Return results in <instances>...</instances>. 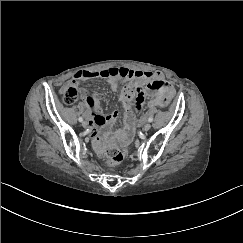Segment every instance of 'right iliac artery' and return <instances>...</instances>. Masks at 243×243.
Here are the masks:
<instances>
[{
  "label": "right iliac artery",
  "mask_w": 243,
  "mask_h": 243,
  "mask_svg": "<svg viewBox=\"0 0 243 243\" xmlns=\"http://www.w3.org/2000/svg\"><path fill=\"white\" fill-rule=\"evenodd\" d=\"M80 122H82L83 121V118L82 117H79V119H78Z\"/></svg>",
  "instance_id": "right-iliac-artery-1"
}]
</instances>
